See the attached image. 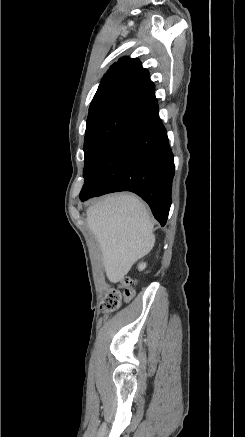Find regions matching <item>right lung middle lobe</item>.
Returning a JSON list of instances; mask_svg holds the SVG:
<instances>
[{"instance_id": "dd1d6c3e", "label": "right lung middle lobe", "mask_w": 245, "mask_h": 437, "mask_svg": "<svg viewBox=\"0 0 245 437\" xmlns=\"http://www.w3.org/2000/svg\"><path fill=\"white\" fill-rule=\"evenodd\" d=\"M143 111L126 104H106L88 113L84 139L86 181L121 132L142 115Z\"/></svg>"}]
</instances>
